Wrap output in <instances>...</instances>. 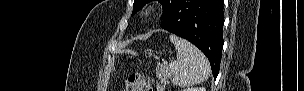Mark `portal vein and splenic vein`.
<instances>
[{"label": "portal vein and splenic vein", "instance_id": "portal-vein-and-splenic-vein-1", "mask_svg": "<svg viewBox=\"0 0 304 91\" xmlns=\"http://www.w3.org/2000/svg\"><path fill=\"white\" fill-rule=\"evenodd\" d=\"M169 68L172 69V70H173V69H176V68H177V65H176L175 63H170V64H169Z\"/></svg>", "mask_w": 304, "mask_h": 91}]
</instances>
